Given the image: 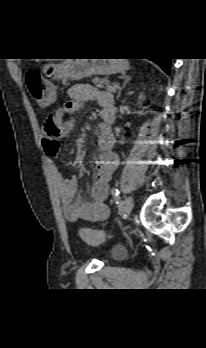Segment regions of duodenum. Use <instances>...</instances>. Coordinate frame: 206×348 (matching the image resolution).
<instances>
[{"instance_id": "410a0bca", "label": "duodenum", "mask_w": 206, "mask_h": 348, "mask_svg": "<svg viewBox=\"0 0 206 348\" xmlns=\"http://www.w3.org/2000/svg\"><path fill=\"white\" fill-rule=\"evenodd\" d=\"M103 125L99 128V139L102 144L110 147L113 142L112 124L116 118V107H105L102 110Z\"/></svg>"}]
</instances>
